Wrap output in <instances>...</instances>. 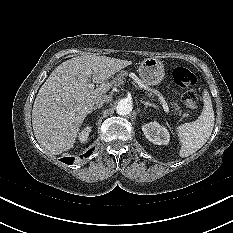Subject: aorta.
Wrapping results in <instances>:
<instances>
[{
	"instance_id": "1",
	"label": "aorta",
	"mask_w": 233,
	"mask_h": 233,
	"mask_svg": "<svg viewBox=\"0 0 233 233\" xmlns=\"http://www.w3.org/2000/svg\"><path fill=\"white\" fill-rule=\"evenodd\" d=\"M133 109V105H132V101L130 99H121L118 102V105L116 107V112L118 115H128L132 112Z\"/></svg>"
}]
</instances>
